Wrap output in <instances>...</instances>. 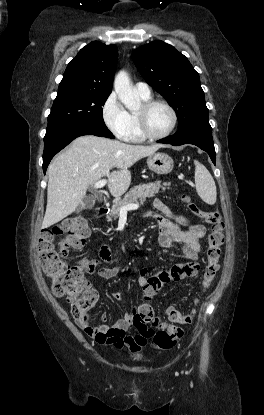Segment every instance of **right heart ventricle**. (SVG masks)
I'll return each mask as SVG.
<instances>
[{
  "mask_svg": "<svg viewBox=\"0 0 264 415\" xmlns=\"http://www.w3.org/2000/svg\"><path fill=\"white\" fill-rule=\"evenodd\" d=\"M139 96L143 101L150 100V96L149 97H145V96H142V95H139ZM128 116H129L128 130L122 138L125 141H128V142H141V141H143L144 138L140 135V133L138 131L136 112L130 111V112H128Z\"/></svg>",
  "mask_w": 264,
  "mask_h": 415,
  "instance_id": "1",
  "label": "right heart ventricle"
}]
</instances>
